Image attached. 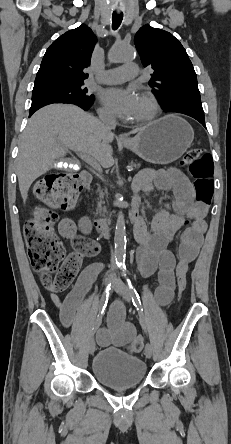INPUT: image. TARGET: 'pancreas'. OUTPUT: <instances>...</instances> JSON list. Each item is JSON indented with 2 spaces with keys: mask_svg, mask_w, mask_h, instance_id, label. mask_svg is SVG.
I'll return each instance as SVG.
<instances>
[{
  "mask_svg": "<svg viewBox=\"0 0 231 444\" xmlns=\"http://www.w3.org/2000/svg\"><path fill=\"white\" fill-rule=\"evenodd\" d=\"M130 166H131L132 168H134V169H139L140 166H141V164H140L139 162H137V161H135V162L132 161V162L130 163ZM103 195H104L103 191H102V190H99L100 201H99L98 206H99L100 208H101V204L103 203V201H102Z\"/></svg>",
  "mask_w": 231,
  "mask_h": 444,
  "instance_id": "pancreas-1",
  "label": "pancreas"
}]
</instances>
